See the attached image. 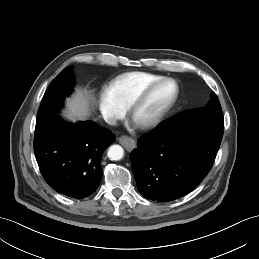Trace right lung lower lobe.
<instances>
[{
    "label": "right lung lower lobe",
    "instance_id": "1",
    "mask_svg": "<svg viewBox=\"0 0 259 259\" xmlns=\"http://www.w3.org/2000/svg\"><path fill=\"white\" fill-rule=\"evenodd\" d=\"M115 141L110 130L93 122L64 124L57 114L36 129L34 152L40 172L58 193L82 199L99 186L101 157Z\"/></svg>",
    "mask_w": 259,
    "mask_h": 259
}]
</instances>
